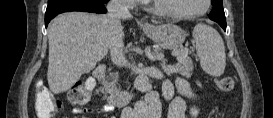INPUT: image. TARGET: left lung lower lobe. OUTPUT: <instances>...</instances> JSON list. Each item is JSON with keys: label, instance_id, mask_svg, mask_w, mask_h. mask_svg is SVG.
Listing matches in <instances>:
<instances>
[{"label": "left lung lower lobe", "instance_id": "1", "mask_svg": "<svg viewBox=\"0 0 273 118\" xmlns=\"http://www.w3.org/2000/svg\"><path fill=\"white\" fill-rule=\"evenodd\" d=\"M220 26L226 31V22L225 23H221Z\"/></svg>", "mask_w": 273, "mask_h": 118}]
</instances>
